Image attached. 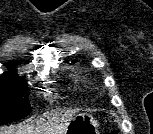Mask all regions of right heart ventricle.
<instances>
[{
    "label": "right heart ventricle",
    "instance_id": "obj_1",
    "mask_svg": "<svg viewBox=\"0 0 153 134\" xmlns=\"http://www.w3.org/2000/svg\"><path fill=\"white\" fill-rule=\"evenodd\" d=\"M75 79H76V80H79V78H77V77H76Z\"/></svg>",
    "mask_w": 153,
    "mask_h": 134
}]
</instances>
